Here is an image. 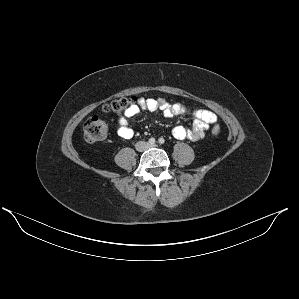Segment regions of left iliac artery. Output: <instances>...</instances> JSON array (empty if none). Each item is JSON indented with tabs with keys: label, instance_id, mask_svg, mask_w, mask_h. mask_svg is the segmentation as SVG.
Here are the masks:
<instances>
[{
	"label": "left iliac artery",
	"instance_id": "44dca946",
	"mask_svg": "<svg viewBox=\"0 0 299 299\" xmlns=\"http://www.w3.org/2000/svg\"><path fill=\"white\" fill-rule=\"evenodd\" d=\"M158 142H159L160 144H164V143H165V139H164V138H159Z\"/></svg>",
	"mask_w": 299,
	"mask_h": 299
}]
</instances>
